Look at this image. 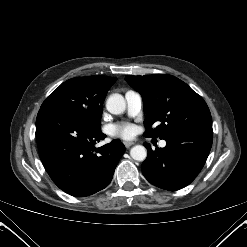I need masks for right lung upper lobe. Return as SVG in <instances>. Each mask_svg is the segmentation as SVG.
Wrapping results in <instances>:
<instances>
[{
  "mask_svg": "<svg viewBox=\"0 0 247 247\" xmlns=\"http://www.w3.org/2000/svg\"><path fill=\"white\" fill-rule=\"evenodd\" d=\"M87 77H89V79L95 82L105 94H107L109 88L117 80V78H111L108 76H87Z\"/></svg>",
  "mask_w": 247,
  "mask_h": 247,
  "instance_id": "obj_1",
  "label": "right lung upper lobe"
}]
</instances>
